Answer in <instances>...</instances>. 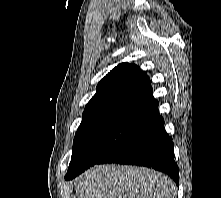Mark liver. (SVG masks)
Returning <instances> with one entry per match:
<instances>
[{"label": "liver", "instance_id": "6515ba94", "mask_svg": "<svg viewBox=\"0 0 221 198\" xmlns=\"http://www.w3.org/2000/svg\"><path fill=\"white\" fill-rule=\"evenodd\" d=\"M78 198H176L168 176L145 167L95 165L76 183Z\"/></svg>", "mask_w": 221, "mask_h": 198}]
</instances>
